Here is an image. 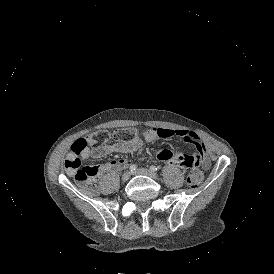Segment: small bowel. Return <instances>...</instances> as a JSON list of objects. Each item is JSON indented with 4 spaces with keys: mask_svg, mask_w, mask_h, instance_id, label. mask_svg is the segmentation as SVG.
<instances>
[{
    "mask_svg": "<svg viewBox=\"0 0 274 274\" xmlns=\"http://www.w3.org/2000/svg\"><path fill=\"white\" fill-rule=\"evenodd\" d=\"M172 137L181 138L183 141L194 145L196 155L199 157L201 164L204 167H209L210 160L206 155V146L203 140L194 132L182 129H170L165 127H150L143 134V140L146 142H154L159 139H168ZM143 140L137 139L133 142L122 143L114 142L110 144H101L93 147H86L81 156L84 159L101 158L112 153H129L141 147ZM180 142L173 138L169 142V149L163 148L156 151L155 156L159 160L167 159L170 166L179 167L183 165L186 169H194L198 166L197 158H189L186 155L180 154ZM126 165L123 159L111 161L99 166V173L110 171L112 169H120Z\"/></svg>",
    "mask_w": 274,
    "mask_h": 274,
    "instance_id": "obj_1",
    "label": "small bowel"
}]
</instances>
